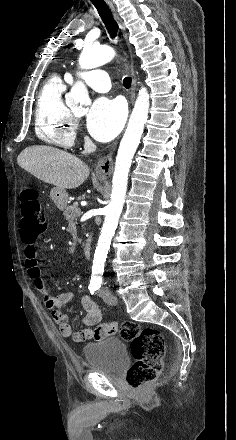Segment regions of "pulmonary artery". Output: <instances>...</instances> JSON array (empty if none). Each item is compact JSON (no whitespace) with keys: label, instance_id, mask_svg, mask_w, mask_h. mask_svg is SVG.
Wrapping results in <instances>:
<instances>
[{"label":"pulmonary artery","instance_id":"pulmonary-artery-1","mask_svg":"<svg viewBox=\"0 0 236 440\" xmlns=\"http://www.w3.org/2000/svg\"><path fill=\"white\" fill-rule=\"evenodd\" d=\"M84 82L94 91L99 93L108 92L111 88L109 74L101 69H94L82 76ZM75 76L67 75V80L73 82Z\"/></svg>","mask_w":236,"mask_h":440}]
</instances>
